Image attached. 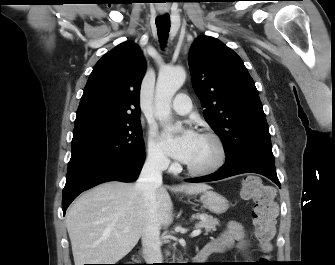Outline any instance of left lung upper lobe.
<instances>
[{"mask_svg":"<svg viewBox=\"0 0 335 265\" xmlns=\"http://www.w3.org/2000/svg\"><path fill=\"white\" fill-rule=\"evenodd\" d=\"M188 63L204 118L221 138L226 162L254 157L274 163L262 104L240 57L219 40L204 36L191 46Z\"/></svg>","mask_w":335,"mask_h":265,"instance_id":"5c2ea615","label":"left lung upper lobe"}]
</instances>
